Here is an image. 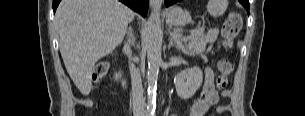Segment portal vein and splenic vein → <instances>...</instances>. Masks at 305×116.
<instances>
[{
    "mask_svg": "<svg viewBox=\"0 0 305 116\" xmlns=\"http://www.w3.org/2000/svg\"><path fill=\"white\" fill-rule=\"evenodd\" d=\"M203 31V28H201L200 30H195L194 31V35H197L199 32ZM174 37L176 38H180L181 37V34L180 33H173ZM179 44L181 45V42H179Z\"/></svg>",
    "mask_w": 305,
    "mask_h": 116,
    "instance_id": "18ae733b",
    "label": "portal vein and splenic vein"
}]
</instances>
